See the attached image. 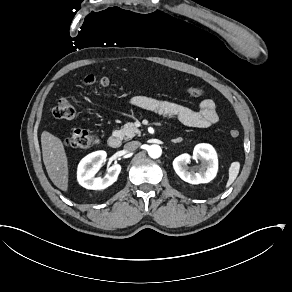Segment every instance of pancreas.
<instances>
[{
	"instance_id": "1",
	"label": "pancreas",
	"mask_w": 292,
	"mask_h": 292,
	"mask_svg": "<svg viewBox=\"0 0 292 292\" xmlns=\"http://www.w3.org/2000/svg\"><path fill=\"white\" fill-rule=\"evenodd\" d=\"M135 135L140 136V130L134 125V123L128 122L117 132L116 137L128 140L133 138Z\"/></svg>"
}]
</instances>
